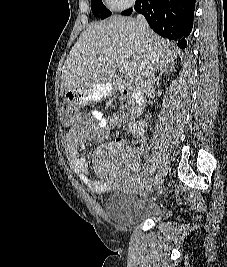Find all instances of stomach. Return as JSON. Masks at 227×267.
I'll return each mask as SVG.
<instances>
[{
	"label": "stomach",
	"instance_id": "0dacf381",
	"mask_svg": "<svg viewBox=\"0 0 227 267\" xmlns=\"http://www.w3.org/2000/svg\"><path fill=\"white\" fill-rule=\"evenodd\" d=\"M110 94L108 85H84V87H70V91H65L61 104H83L87 101H94Z\"/></svg>",
	"mask_w": 227,
	"mask_h": 267
}]
</instances>
